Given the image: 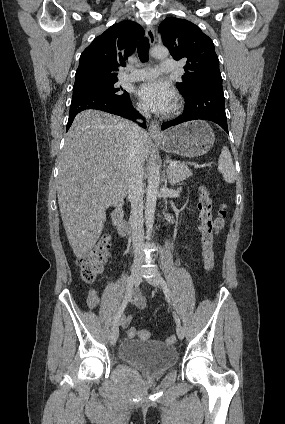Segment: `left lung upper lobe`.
<instances>
[{"instance_id":"obj_1","label":"left lung upper lobe","mask_w":285,"mask_h":424,"mask_svg":"<svg viewBox=\"0 0 285 424\" xmlns=\"http://www.w3.org/2000/svg\"><path fill=\"white\" fill-rule=\"evenodd\" d=\"M159 31L173 58L187 62L183 81L176 83L182 95L186 96L202 85L222 84L214 44L198 26L184 19L168 17L161 22Z\"/></svg>"}]
</instances>
